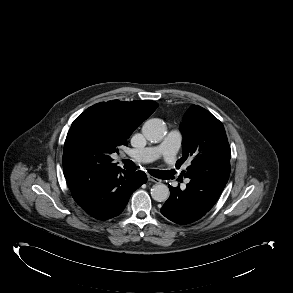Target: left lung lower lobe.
<instances>
[{
	"mask_svg": "<svg viewBox=\"0 0 293 293\" xmlns=\"http://www.w3.org/2000/svg\"><path fill=\"white\" fill-rule=\"evenodd\" d=\"M225 185L201 177L190 178L185 190L169 185L170 197L160 211L177 224L195 222L213 207Z\"/></svg>",
	"mask_w": 293,
	"mask_h": 293,
	"instance_id": "1",
	"label": "left lung lower lobe"
}]
</instances>
